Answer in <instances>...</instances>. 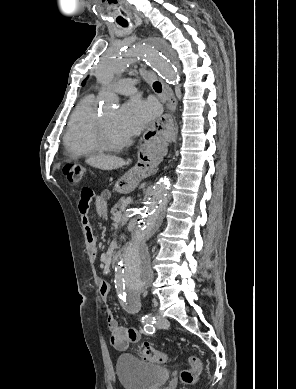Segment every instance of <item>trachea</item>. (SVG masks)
I'll list each match as a JSON object with an SVG mask.
<instances>
[{"instance_id": "trachea-1", "label": "trachea", "mask_w": 296, "mask_h": 389, "mask_svg": "<svg viewBox=\"0 0 296 389\" xmlns=\"http://www.w3.org/2000/svg\"><path fill=\"white\" fill-rule=\"evenodd\" d=\"M123 26H127L126 24H123ZM153 88L156 92L160 93L162 91L161 83L156 81L153 83Z\"/></svg>"}]
</instances>
